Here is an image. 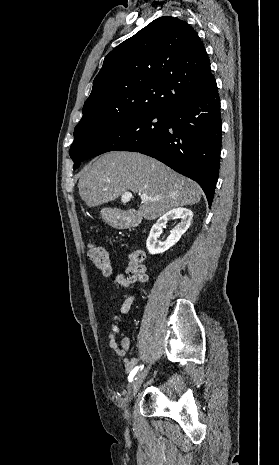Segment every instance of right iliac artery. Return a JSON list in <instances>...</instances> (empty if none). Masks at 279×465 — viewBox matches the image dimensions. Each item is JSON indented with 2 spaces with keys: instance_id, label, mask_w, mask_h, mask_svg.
<instances>
[{
  "instance_id": "82829eb1",
  "label": "right iliac artery",
  "mask_w": 279,
  "mask_h": 465,
  "mask_svg": "<svg viewBox=\"0 0 279 465\" xmlns=\"http://www.w3.org/2000/svg\"><path fill=\"white\" fill-rule=\"evenodd\" d=\"M140 368H143V366L135 367V368L131 371V373H130L129 376H128L129 382H131V381L133 380L134 376L137 374V372H138V370H139Z\"/></svg>"
}]
</instances>
